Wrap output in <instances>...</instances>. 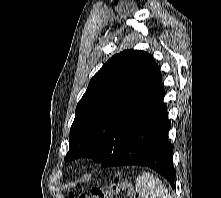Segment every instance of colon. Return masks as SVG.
<instances>
[{
	"label": "colon",
	"mask_w": 221,
	"mask_h": 198,
	"mask_svg": "<svg viewBox=\"0 0 221 198\" xmlns=\"http://www.w3.org/2000/svg\"><path fill=\"white\" fill-rule=\"evenodd\" d=\"M121 192L131 195V188L126 181L118 179L103 187L93 188L89 195H75L74 193H70V198H114Z\"/></svg>",
	"instance_id": "obj_1"
}]
</instances>
